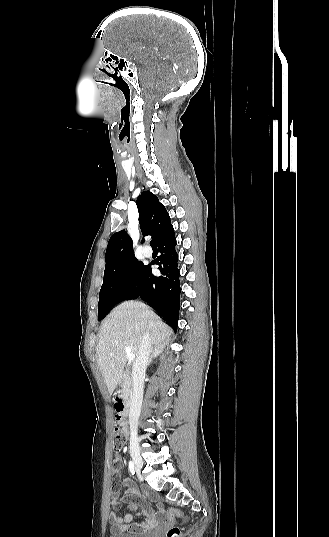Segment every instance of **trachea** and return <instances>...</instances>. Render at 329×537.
<instances>
[{
    "mask_svg": "<svg viewBox=\"0 0 329 537\" xmlns=\"http://www.w3.org/2000/svg\"><path fill=\"white\" fill-rule=\"evenodd\" d=\"M150 245H151V247H157L156 241L154 239L151 240Z\"/></svg>",
    "mask_w": 329,
    "mask_h": 537,
    "instance_id": "3493384b",
    "label": "trachea"
}]
</instances>
